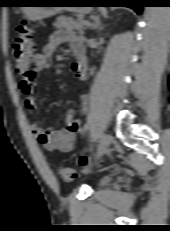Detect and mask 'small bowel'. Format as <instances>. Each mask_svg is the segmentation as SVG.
Masks as SVG:
<instances>
[{
	"label": "small bowel",
	"mask_w": 170,
	"mask_h": 231,
	"mask_svg": "<svg viewBox=\"0 0 170 231\" xmlns=\"http://www.w3.org/2000/svg\"><path fill=\"white\" fill-rule=\"evenodd\" d=\"M65 42H68L75 52L82 51L80 40L71 33L64 30L53 32L42 52L37 54L34 58L35 78L30 81L21 80L19 83V89L24 95L25 107L30 114L35 113L37 108V92L35 91L36 76L40 71L47 69L50 66L51 58L56 48ZM71 71L78 80L82 82L87 80L83 61L73 63ZM85 102V95H81V110H84ZM79 127L80 122L74 117V112L72 110L65 115L64 127L60 130L44 127L40 120L34 121L31 125L33 134L47 151L59 150L61 152H70L74 149L76 133L78 132Z\"/></svg>",
	"instance_id": "small-bowel-1"
}]
</instances>
